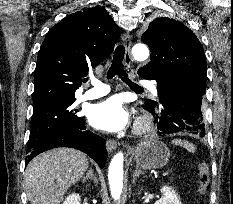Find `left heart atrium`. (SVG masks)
<instances>
[{
  "label": "left heart atrium",
  "mask_w": 233,
  "mask_h": 204,
  "mask_svg": "<svg viewBox=\"0 0 233 204\" xmlns=\"http://www.w3.org/2000/svg\"><path fill=\"white\" fill-rule=\"evenodd\" d=\"M88 120L98 130L119 132L129 125L130 116L123 100L112 96L93 105L88 113Z\"/></svg>",
  "instance_id": "left-heart-atrium-1"
}]
</instances>
